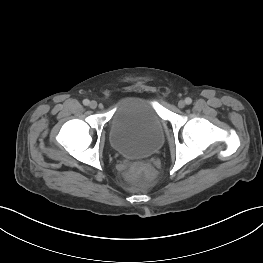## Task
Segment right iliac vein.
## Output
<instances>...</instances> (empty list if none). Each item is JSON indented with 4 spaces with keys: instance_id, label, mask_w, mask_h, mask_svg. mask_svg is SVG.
<instances>
[{
    "instance_id": "63e3f726",
    "label": "right iliac vein",
    "mask_w": 263,
    "mask_h": 263,
    "mask_svg": "<svg viewBox=\"0 0 263 263\" xmlns=\"http://www.w3.org/2000/svg\"><path fill=\"white\" fill-rule=\"evenodd\" d=\"M89 106H90L91 109H95V108H97V102L96 101H91Z\"/></svg>"
}]
</instances>
